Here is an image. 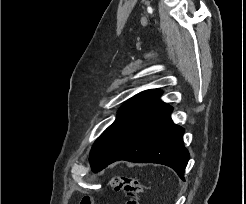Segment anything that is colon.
<instances>
[{
  "instance_id": "5ec220e1",
  "label": "colon",
  "mask_w": 246,
  "mask_h": 204,
  "mask_svg": "<svg viewBox=\"0 0 246 204\" xmlns=\"http://www.w3.org/2000/svg\"><path fill=\"white\" fill-rule=\"evenodd\" d=\"M114 191L122 192L126 196V204H139L140 187L136 179L129 176H118L109 181ZM79 204H93L90 196L85 195Z\"/></svg>"
}]
</instances>
